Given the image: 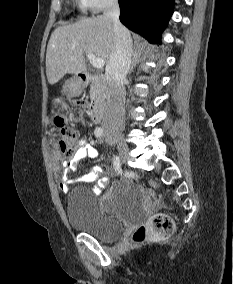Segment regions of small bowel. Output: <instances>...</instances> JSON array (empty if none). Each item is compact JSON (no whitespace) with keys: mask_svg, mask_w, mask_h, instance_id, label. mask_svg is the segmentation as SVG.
Listing matches in <instances>:
<instances>
[{"mask_svg":"<svg viewBox=\"0 0 233 284\" xmlns=\"http://www.w3.org/2000/svg\"><path fill=\"white\" fill-rule=\"evenodd\" d=\"M98 152L95 147L88 142L85 138H81L78 141V149L76 153L68 160L64 161L58 173V181L60 189L67 192L70 187L69 174L76 169L77 163L85 158L97 159ZM102 170L99 166H93L81 179L83 182H93L101 176ZM107 182L106 178H103L95 186L94 191L100 192Z\"/></svg>","mask_w":233,"mask_h":284,"instance_id":"1","label":"small bowel"}]
</instances>
